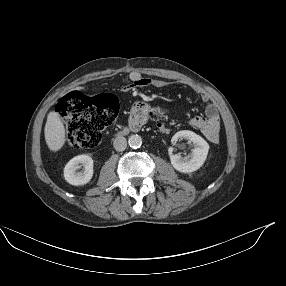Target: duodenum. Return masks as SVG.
<instances>
[{"mask_svg": "<svg viewBox=\"0 0 286 286\" xmlns=\"http://www.w3.org/2000/svg\"><path fill=\"white\" fill-rule=\"evenodd\" d=\"M146 111L147 109L143 110L136 107V115L130 119L128 126L124 130L115 131V135L118 136L128 131L140 130L144 125V118L142 117V114H144Z\"/></svg>", "mask_w": 286, "mask_h": 286, "instance_id": "410a0bca", "label": "duodenum"}]
</instances>
